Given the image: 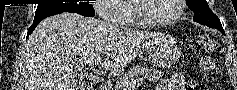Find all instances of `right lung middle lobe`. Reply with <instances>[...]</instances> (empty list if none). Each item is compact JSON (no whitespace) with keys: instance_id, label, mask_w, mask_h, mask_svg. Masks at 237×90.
Segmentation results:
<instances>
[{"instance_id":"obj_1","label":"right lung middle lobe","mask_w":237,"mask_h":90,"mask_svg":"<svg viewBox=\"0 0 237 90\" xmlns=\"http://www.w3.org/2000/svg\"><path fill=\"white\" fill-rule=\"evenodd\" d=\"M73 12V13H84L89 15H95V10L89 2L79 3H59V4H38L34 21L42 20L51 15Z\"/></svg>"}]
</instances>
